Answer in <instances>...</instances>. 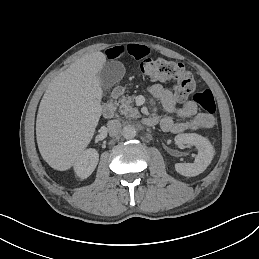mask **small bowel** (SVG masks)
I'll use <instances>...</instances> for the list:
<instances>
[{
	"mask_svg": "<svg viewBox=\"0 0 259 259\" xmlns=\"http://www.w3.org/2000/svg\"><path fill=\"white\" fill-rule=\"evenodd\" d=\"M149 54V48L142 44H121L108 48L105 56L108 60H118L124 57H131L140 60ZM150 94L156 98L168 114L157 117L160 128L169 133H182L210 129L215 124V118L208 113L198 111L197 104L193 100L182 101L169 88L159 83H153L149 87ZM170 114L176 115L181 120H174Z\"/></svg>",
	"mask_w": 259,
	"mask_h": 259,
	"instance_id": "small-bowel-1",
	"label": "small bowel"
}]
</instances>
